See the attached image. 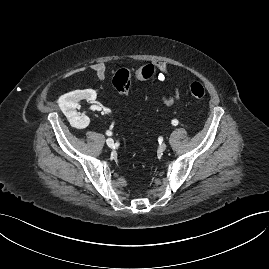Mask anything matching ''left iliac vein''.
Here are the masks:
<instances>
[{
    "instance_id": "4c4485c4",
    "label": "left iliac vein",
    "mask_w": 269,
    "mask_h": 269,
    "mask_svg": "<svg viewBox=\"0 0 269 269\" xmlns=\"http://www.w3.org/2000/svg\"><path fill=\"white\" fill-rule=\"evenodd\" d=\"M167 148V145L165 143H162L160 146H159V150L160 151H165Z\"/></svg>"
}]
</instances>
